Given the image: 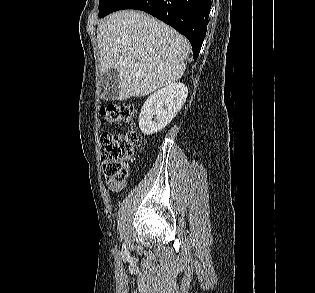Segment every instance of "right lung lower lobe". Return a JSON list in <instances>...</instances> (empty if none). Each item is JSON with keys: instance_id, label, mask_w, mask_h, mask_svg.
<instances>
[{"instance_id": "98d812e1", "label": "right lung lower lobe", "mask_w": 315, "mask_h": 293, "mask_svg": "<svg viewBox=\"0 0 315 293\" xmlns=\"http://www.w3.org/2000/svg\"><path fill=\"white\" fill-rule=\"evenodd\" d=\"M211 0H112L101 16L123 9L145 11L188 38L197 59L208 24Z\"/></svg>"}]
</instances>
